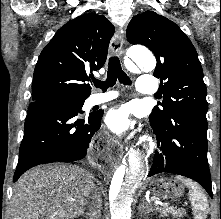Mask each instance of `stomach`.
Returning a JSON list of instances; mask_svg holds the SVG:
<instances>
[{"label":"stomach","instance_id":"stomach-1","mask_svg":"<svg viewBox=\"0 0 221 219\" xmlns=\"http://www.w3.org/2000/svg\"><path fill=\"white\" fill-rule=\"evenodd\" d=\"M166 181V179H155L152 181L151 186L153 195H156V199H169L170 195H180V192H182L181 189L170 190V186H172V184Z\"/></svg>","mask_w":221,"mask_h":219}]
</instances>
